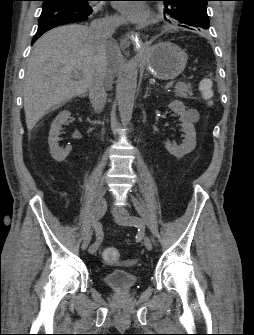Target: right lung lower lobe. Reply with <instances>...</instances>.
I'll return each instance as SVG.
<instances>
[{
	"instance_id": "1",
	"label": "right lung lower lobe",
	"mask_w": 254,
	"mask_h": 335,
	"mask_svg": "<svg viewBox=\"0 0 254 335\" xmlns=\"http://www.w3.org/2000/svg\"><path fill=\"white\" fill-rule=\"evenodd\" d=\"M93 12V4L81 0H43L42 13L34 43L46 31L67 23L86 21Z\"/></svg>"
}]
</instances>
